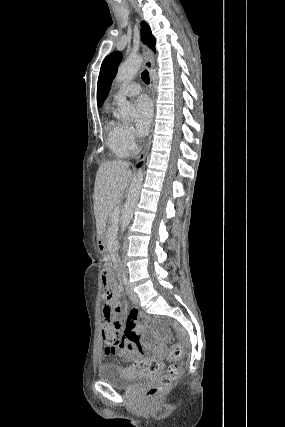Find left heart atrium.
<instances>
[{
	"label": "left heart atrium",
	"instance_id": "left-heart-atrium-1",
	"mask_svg": "<svg viewBox=\"0 0 285 427\" xmlns=\"http://www.w3.org/2000/svg\"><path fill=\"white\" fill-rule=\"evenodd\" d=\"M153 118L151 102L146 97L137 99L134 105V120L139 135L147 134Z\"/></svg>",
	"mask_w": 285,
	"mask_h": 427
}]
</instances>
